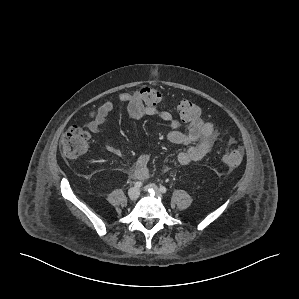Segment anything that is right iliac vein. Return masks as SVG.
Instances as JSON below:
<instances>
[{
	"label": "right iliac vein",
	"instance_id": "1",
	"mask_svg": "<svg viewBox=\"0 0 299 299\" xmlns=\"http://www.w3.org/2000/svg\"><path fill=\"white\" fill-rule=\"evenodd\" d=\"M139 194H140L139 189L135 187L130 188L128 191V197L132 201L136 200L139 197Z\"/></svg>",
	"mask_w": 299,
	"mask_h": 299
}]
</instances>
